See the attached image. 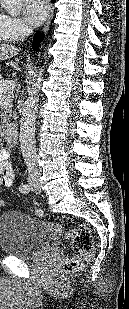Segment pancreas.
<instances>
[{
    "instance_id": "1",
    "label": "pancreas",
    "mask_w": 129,
    "mask_h": 309,
    "mask_svg": "<svg viewBox=\"0 0 129 309\" xmlns=\"http://www.w3.org/2000/svg\"><path fill=\"white\" fill-rule=\"evenodd\" d=\"M6 81L7 80L1 79V75H0V93H2V98H0V101H4V99H7L12 90V89H7L6 87L1 86ZM11 116H12L11 108L1 103L0 104V120H1L2 125L0 126V128H4L8 126V123L11 120Z\"/></svg>"
}]
</instances>
